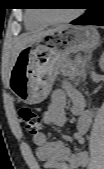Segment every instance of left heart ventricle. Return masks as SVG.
I'll list each match as a JSON object with an SVG mask.
<instances>
[{
	"label": "left heart ventricle",
	"mask_w": 104,
	"mask_h": 169,
	"mask_svg": "<svg viewBox=\"0 0 104 169\" xmlns=\"http://www.w3.org/2000/svg\"><path fill=\"white\" fill-rule=\"evenodd\" d=\"M70 12L72 11L57 10V11H52L50 13V16L53 18H62L67 16Z\"/></svg>",
	"instance_id": "1"
}]
</instances>
